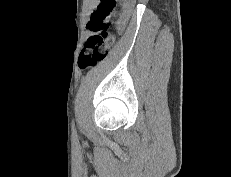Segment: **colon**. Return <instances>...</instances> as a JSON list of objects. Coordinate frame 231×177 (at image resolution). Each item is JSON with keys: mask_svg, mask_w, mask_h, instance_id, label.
Listing matches in <instances>:
<instances>
[{"mask_svg": "<svg viewBox=\"0 0 231 177\" xmlns=\"http://www.w3.org/2000/svg\"><path fill=\"white\" fill-rule=\"evenodd\" d=\"M119 3L129 5L130 0H100L98 8L91 14L87 24L91 35L78 57L80 69L93 68L107 57L115 40L111 20L118 10Z\"/></svg>", "mask_w": 231, "mask_h": 177, "instance_id": "colon-1", "label": "colon"}]
</instances>
